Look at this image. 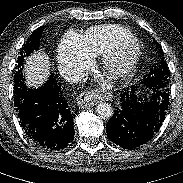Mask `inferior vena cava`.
Instances as JSON below:
<instances>
[{
	"label": "inferior vena cava",
	"mask_w": 183,
	"mask_h": 183,
	"mask_svg": "<svg viewBox=\"0 0 183 183\" xmlns=\"http://www.w3.org/2000/svg\"><path fill=\"white\" fill-rule=\"evenodd\" d=\"M63 77L69 82H78L83 76V70L77 66H68L62 71Z\"/></svg>",
	"instance_id": "602c4592"
}]
</instances>
